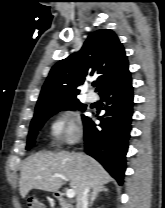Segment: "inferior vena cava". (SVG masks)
<instances>
[{
  "mask_svg": "<svg viewBox=\"0 0 165 208\" xmlns=\"http://www.w3.org/2000/svg\"><path fill=\"white\" fill-rule=\"evenodd\" d=\"M89 192H90V188L88 187V185L83 184L82 191L77 197L76 208H87L88 200H89Z\"/></svg>",
  "mask_w": 165,
  "mask_h": 208,
  "instance_id": "602c4592",
  "label": "inferior vena cava"
}]
</instances>
